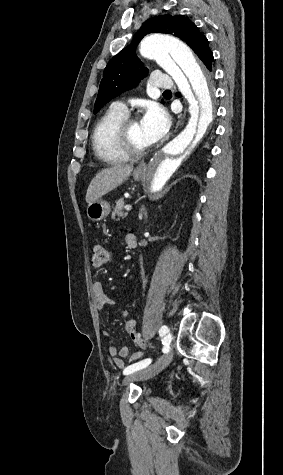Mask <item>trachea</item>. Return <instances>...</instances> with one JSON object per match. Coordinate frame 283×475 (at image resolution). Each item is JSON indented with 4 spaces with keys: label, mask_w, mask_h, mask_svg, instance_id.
<instances>
[{
    "label": "trachea",
    "mask_w": 283,
    "mask_h": 475,
    "mask_svg": "<svg viewBox=\"0 0 283 475\" xmlns=\"http://www.w3.org/2000/svg\"><path fill=\"white\" fill-rule=\"evenodd\" d=\"M163 94L171 95L172 92L170 90H165Z\"/></svg>",
    "instance_id": "1"
}]
</instances>
